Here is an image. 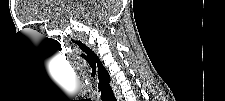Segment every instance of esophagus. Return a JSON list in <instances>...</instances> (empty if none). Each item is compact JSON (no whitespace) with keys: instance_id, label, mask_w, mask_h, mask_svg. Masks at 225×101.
Returning <instances> with one entry per match:
<instances>
[{"instance_id":"obj_1","label":"esophagus","mask_w":225,"mask_h":101,"mask_svg":"<svg viewBox=\"0 0 225 101\" xmlns=\"http://www.w3.org/2000/svg\"><path fill=\"white\" fill-rule=\"evenodd\" d=\"M118 100H121V98H120V97H118Z\"/></svg>"}]
</instances>
